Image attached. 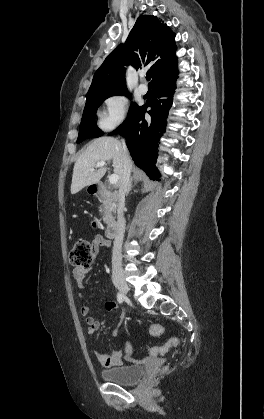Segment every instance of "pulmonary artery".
Segmentation results:
<instances>
[{
  "label": "pulmonary artery",
  "mask_w": 264,
  "mask_h": 419,
  "mask_svg": "<svg viewBox=\"0 0 264 419\" xmlns=\"http://www.w3.org/2000/svg\"><path fill=\"white\" fill-rule=\"evenodd\" d=\"M138 89H139L140 93H142V94H146V93H147V91H148V87H147V86H146V84H144V83H141V84L138 86Z\"/></svg>",
  "instance_id": "obj_1"
}]
</instances>
